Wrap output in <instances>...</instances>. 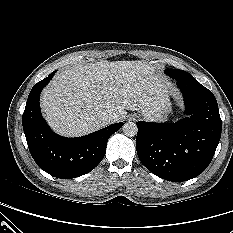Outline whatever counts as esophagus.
<instances>
[{"label": "esophagus", "instance_id": "34e87169", "mask_svg": "<svg viewBox=\"0 0 233 233\" xmlns=\"http://www.w3.org/2000/svg\"><path fill=\"white\" fill-rule=\"evenodd\" d=\"M130 119H132V120H136V116H132Z\"/></svg>", "mask_w": 233, "mask_h": 233}]
</instances>
